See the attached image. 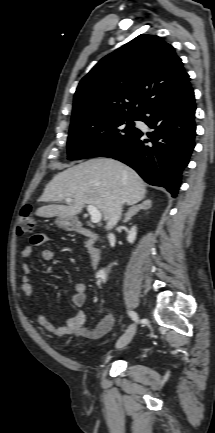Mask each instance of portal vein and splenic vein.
I'll use <instances>...</instances> for the list:
<instances>
[{"instance_id": "portal-vein-and-splenic-vein-1", "label": "portal vein and splenic vein", "mask_w": 215, "mask_h": 433, "mask_svg": "<svg viewBox=\"0 0 215 433\" xmlns=\"http://www.w3.org/2000/svg\"><path fill=\"white\" fill-rule=\"evenodd\" d=\"M65 201L67 203H70L72 201L71 198H66ZM87 211L91 216V222L96 224L99 223L101 221L102 218V214L101 212L93 205H88L87 206Z\"/></svg>"}]
</instances>
